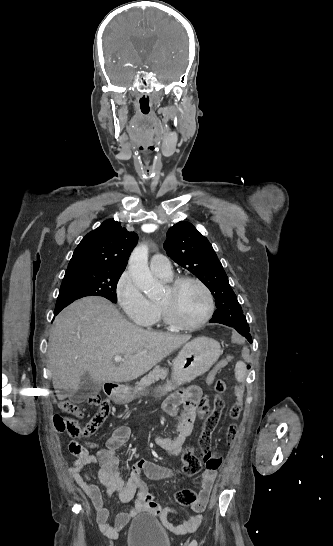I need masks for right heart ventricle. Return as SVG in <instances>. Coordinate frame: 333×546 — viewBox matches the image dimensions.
Wrapping results in <instances>:
<instances>
[{"label": "right heart ventricle", "instance_id": "1", "mask_svg": "<svg viewBox=\"0 0 333 546\" xmlns=\"http://www.w3.org/2000/svg\"><path fill=\"white\" fill-rule=\"evenodd\" d=\"M158 277L161 278L164 281H170L172 279V277H170V278H165V277H161V276H158ZM154 306H155V309H156V313H155V316H154L153 320L148 325L150 327L156 328V327L159 326V324H160V322L162 320V314H161V311H160L158 305L154 304Z\"/></svg>", "mask_w": 333, "mask_h": 546}]
</instances>
